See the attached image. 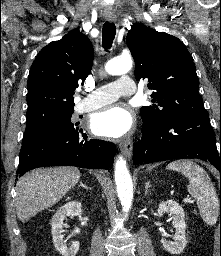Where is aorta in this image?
Segmentation results:
<instances>
[{
    "label": "aorta",
    "instance_id": "762f6f07",
    "mask_svg": "<svg viewBox=\"0 0 221 256\" xmlns=\"http://www.w3.org/2000/svg\"><path fill=\"white\" fill-rule=\"evenodd\" d=\"M133 62L130 57H117L109 60L105 65V70L110 75H121L129 72ZM115 182L117 194L124 212H127L132 205L133 184L126 161L123 157H118L115 163Z\"/></svg>",
    "mask_w": 221,
    "mask_h": 256
}]
</instances>
